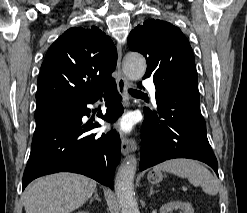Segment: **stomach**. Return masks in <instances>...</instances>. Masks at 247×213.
I'll use <instances>...</instances> for the list:
<instances>
[{"label": "stomach", "instance_id": "0dacf381", "mask_svg": "<svg viewBox=\"0 0 247 213\" xmlns=\"http://www.w3.org/2000/svg\"><path fill=\"white\" fill-rule=\"evenodd\" d=\"M163 178V175L161 172H150L147 176L148 181L151 184H157L159 183Z\"/></svg>", "mask_w": 247, "mask_h": 213}]
</instances>
